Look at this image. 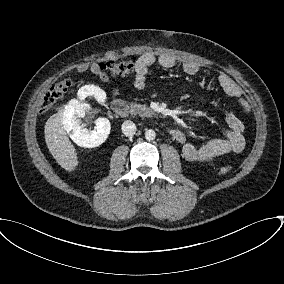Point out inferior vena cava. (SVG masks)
Wrapping results in <instances>:
<instances>
[{"mask_svg": "<svg viewBox=\"0 0 284 284\" xmlns=\"http://www.w3.org/2000/svg\"><path fill=\"white\" fill-rule=\"evenodd\" d=\"M136 125L135 123H133L132 121H124L122 124V132L126 135V136H133L136 133Z\"/></svg>", "mask_w": 284, "mask_h": 284, "instance_id": "inferior-vena-cava-1", "label": "inferior vena cava"}]
</instances>
